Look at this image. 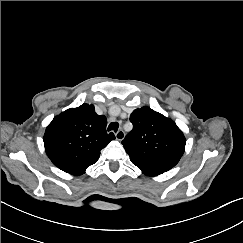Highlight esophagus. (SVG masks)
<instances>
[{
	"label": "esophagus",
	"mask_w": 243,
	"mask_h": 243,
	"mask_svg": "<svg viewBox=\"0 0 243 243\" xmlns=\"http://www.w3.org/2000/svg\"><path fill=\"white\" fill-rule=\"evenodd\" d=\"M117 140L122 141L125 138V133L123 130H118L115 134Z\"/></svg>",
	"instance_id": "esophagus-1"
}]
</instances>
